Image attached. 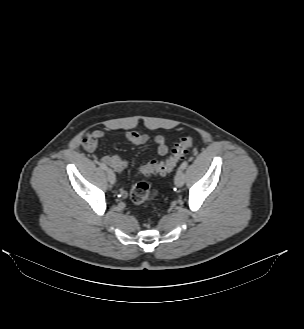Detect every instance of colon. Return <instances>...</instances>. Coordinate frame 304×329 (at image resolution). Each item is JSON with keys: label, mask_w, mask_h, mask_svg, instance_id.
Returning a JSON list of instances; mask_svg holds the SVG:
<instances>
[{"label": "colon", "mask_w": 304, "mask_h": 329, "mask_svg": "<svg viewBox=\"0 0 304 329\" xmlns=\"http://www.w3.org/2000/svg\"><path fill=\"white\" fill-rule=\"evenodd\" d=\"M194 138L191 136L182 137L176 143L171 151V154L164 162L150 161L142 164L138 169V175L150 177L154 175H167L171 173L180 160L184 158L187 151L193 146ZM156 191L143 181L134 183L130 190V198L133 203L138 205L148 206L156 196Z\"/></svg>", "instance_id": "obj_1"}]
</instances>
